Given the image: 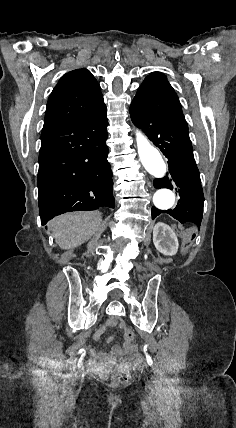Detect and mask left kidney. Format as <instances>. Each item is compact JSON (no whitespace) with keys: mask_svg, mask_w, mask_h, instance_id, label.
Wrapping results in <instances>:
<instances>
[{"mask_svg":"<svg viewBox=\"0 0 236 428\" xmlns=\"http://www.w3.org/2000/svg\"><path fill=\"white\" fill-rule=\"evenodd\" d=\"M153 242L156 250L164 256H175L178 250V240L170 226L158 222L153 230Z\"/></svg>","mask_w":236,"mask_h":428,"instance_id":"left-kidney-1","label":"left kidney"}]
</instances>
